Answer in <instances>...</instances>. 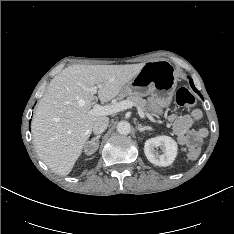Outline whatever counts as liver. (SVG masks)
Masks as SVG:
<instances>
[{
    "instance_id": "liver-1",
    "label": "liver",
    "mask_w": 234,
    "mask_h": 234,
    "mask_svg": "<svg viewBox=\"0 0 234 234\" xmlns=\"http://www.w3.org/2000/svg\"><path fill=\"white\" fill-rule=\"evenodd\" d=\"M143 65H73L51 80L36 108L32 133L38 156L53 172L70 173L93 124L103 117L90 114L95 99L90 89L98 86V98L108 102Z\"/></svg>"
}]
</instances>
